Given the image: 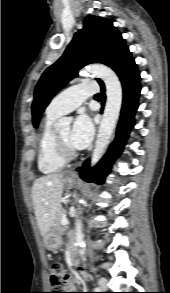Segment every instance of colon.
<instances>
[{
	"label": "colon",
	"instance_id": "colon-1",
	"mask_svg": "<svg viewBox=\"0 0 170 293\" xmlns=\"http://www.w3.org/2000/svg\"><path fill=\"white\" fill-rule=\"evenodd\" d=\"M50 282L54 292L64 290L68 286V271L66 266L58 260L52 258L49 263Z\"/></svg>",
	"mask_w": 170,
	"mask_h": 293
}]
</instances>
